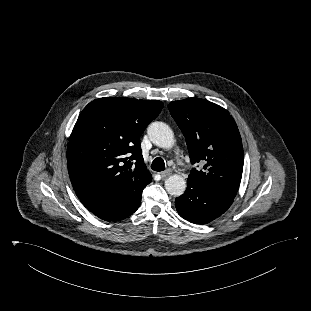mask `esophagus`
Here are the masks:
<instances>
[{
  "label": "esophagus",
  "instance_id": "obj_1",
  "mask_svg": "<svg viewBox=\"0 0 311 311\" xmlns=\"http://www.w3.org/2000/svg\"><path fill=\"white\" fill-rule=\"evenodd\" d=\"M171 174H172V171H171L170 169H168V170H166V171L161 172V173H160V176H161L162 178H167V177H169Z\"/></svg>",
  "mask_w": 311,
  "mask_h": 311
}]
</instances>
